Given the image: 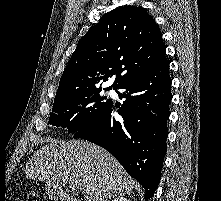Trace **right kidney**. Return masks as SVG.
<instances>
[{
  "label": "right kidney",
  "mask_w": 221,
  "mask_h": 201,
  "mask_svg": "<svg viewBox=\"0 0 221 201\" xmlns=\"http://www.w3.org/2000/svg\"><path fill=\"white\" fill-rule=\"evenodd\" d=\"M112 201H128V200L124 197H117V198L113 199Z\"/></svg>",
  "instance_id": "right-kidney-1"
}]
</instances>
